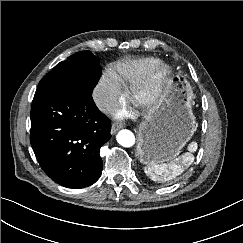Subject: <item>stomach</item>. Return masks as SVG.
<instances>
[{"mask_svg": "<svg viewBox=\"0 0 243 243\" xmlns=\"http://www.w3.org/2000/svg\"><path fill=\"white\" fill-rule=\"evenodd\" d=\"M193 91L183 78H175L162 105L140 124L136 154L146 165L177 157L196 131Z\"/></svg>", "mask_w": 243, "mask_h": 243, "instance_id": "obj_1", "label": "stomach"}]
</instances>
